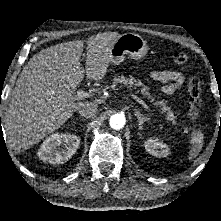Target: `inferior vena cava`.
Returning a JSON list of instances; mask_svg holds the SVG:
<instances>
[{
	"mask_svg": "<svg viewBox=\"0 0 221 221\" xmlns=\"http://www.w3.org/2000/svg\"><path fill=\"white\" fill-rule=\"evenodd\" d=\"M98 107L94 102H85L83 103L79 109V114L84 118H91L97 113Z\"/></svg>",
	"mask_w": 221,
	"mask_h": 221,
	"instance_id": "obj_1",
	"label": "inferior vena cava"
}]
</instances>
